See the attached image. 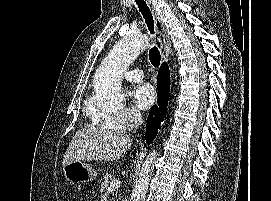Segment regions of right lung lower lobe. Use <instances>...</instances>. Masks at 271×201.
<instances>
[{"mask_svg": "<svg viewBox=\"0 0 271 201\" xmlns=\"http://www.w3.org/2000/svg\"><path fill=\"white\" fill-rule=\"evenodd\" d=\"M158 106H153L149 112L146 125V142L150 144L156 137L161 122L166 115L169 99L170 74L167 63H163L158 72Z\"/></svg>", "mask_w": 271, "mask_h": 201, "instance_id": "98d812e1", "label": "right lung lower lobe"}]
</instances>
